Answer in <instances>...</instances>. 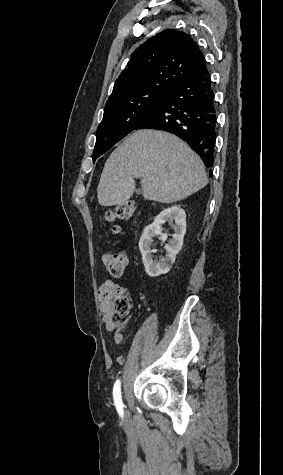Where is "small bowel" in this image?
<instances>
[{"label": "small bowel", "mask_w": 283, "mask_h": 475, "mask_svg": "<svg viewBox=\"0 0 283 475\" xmlns=\"http://www.w3.org/2000/svg\"><path fill=\"white\" fill-rule=\"evenodd\" d=\"M117 285L112 282H106L100 286L98 290L99 302L102 310V322L105 325V328L113 333V340L115 343L120 344L123 341L124 333L128 324L129 319L115 323L112 321L110 312L112 301L115 296Z\"/></svg>", "instance_id": "small-bowel-1"}]
</instances>
